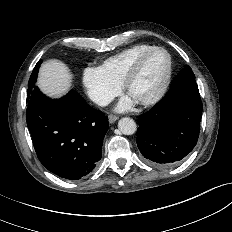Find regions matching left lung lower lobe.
I'll return each mask as SVG.
<instances>
[{
	"mask_svg": "<svg viewBox=\"0 0 232 232\" xmlns=\"http://www.w3.org/2000/svg\"><path fill=\"white\" fill-rule=\"evenodd\" d=\"M201 116L199 91H185L172 82L163 99L139 116L140 152L156 167L176 166L195 147Z\"/></svg>",
	"mask_w": 232,
	"mask_h": 232,
	"instance_id": "left-lung-lower-lobe-1",
	"label": "left lung lower lobe"
}]
</instances>
